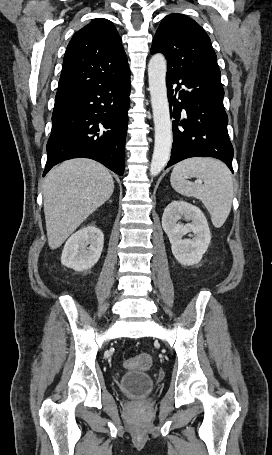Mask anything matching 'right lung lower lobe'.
I'll use <instances>...</instances> for the list:
<instances>
[{"label":"right lung lower lobe","mask_w":272,"mask_h":455,"mask_svg":"<svg viewBox=\"0 0 272 455\" xmlns=\"http://www.w3.org/2000/svg\"><path fill=\"white\" fill-rule=\"evenodd\" d=\"M130 88L128 74L55 100L43 176L76 157L97 160L123 175Z\"/></svg>","instance_id":"1"}]
</instances>
